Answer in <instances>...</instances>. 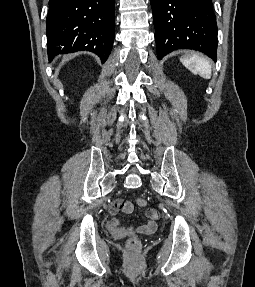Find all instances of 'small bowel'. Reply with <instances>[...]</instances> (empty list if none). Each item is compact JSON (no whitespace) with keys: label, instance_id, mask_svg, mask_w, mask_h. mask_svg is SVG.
<instances>
[{"label":"small bowel","instance_id":"obj_1","mask_svg":"<svg viewBox=\"0 0 255 287\" xmlns=\"http://www.w3.org/2000/svg\"><path fill=\"white\" fill-rule=\"evenodd\" d=\"M133 204L128 200L117 199L110 205V213L116 215L119 212L129 214L133 211ZM146 221L143 225H126L120 219L113 218L110 222V230L116 235H129L133 233H152L156 230L157 221L160 219V213L156 209L145 211Z\"/></svg>","mask_w":255,"mask_h":287}]
</instances>
